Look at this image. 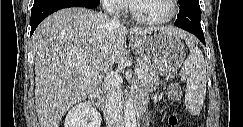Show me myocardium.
Instances as JSON below:
<instances>
[{
	"label": "myocardium",
	"instance_id": "f54148a6",
	"mask_svg": "<svg viewBox=\"0 0 243 127\" xmlns=\"http://www.w3.org/2000/svg\"><path fill=\"white\" fill-rule=\"evenodd\" d=\"M135 1L136 0L130 1L128 3V11H129L131 17L139 23L149 24V25L165 24V23L171 21L178 12V1L177 0H168L169 5H170V11L166 16L160 17V18H145V17H142L137 14V12L135 10V6H134Z\"/></svg>",
	"mask_w": 243,
	"mask_h": 127
}]
</instances>
